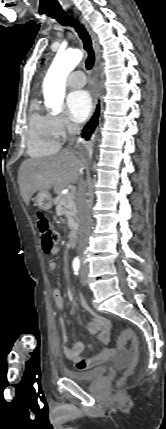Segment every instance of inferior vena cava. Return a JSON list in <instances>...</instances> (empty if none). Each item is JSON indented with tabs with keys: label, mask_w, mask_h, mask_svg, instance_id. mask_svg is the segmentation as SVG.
I'll list each match as a JSON object with an SVG mask.
<instances>
[{
	"label": "inferior vena cava",
	"mask_w": 166,
	"mask_h": 429,
	"mask_svg": "<svg viewBox=\"0 0 166 429\" xmlns=\"http://www.w3.org/2000/svg\"><path fill=\"white\" fill-rule=\"evenodd\" d=\"M68 133L70 135L68 149L71 148L74 141L76 140L75 135L79 133L80 127L77 124L69 123ZM89 193L87 192V186L83 178H80L78 184V216H79V239L77 246V253L81 256L86 249L88 237L90 234L91 227V216H90V203L88 201Z\"/></svg>",
	"instance_id": "602c4592"
}]
</instances>
